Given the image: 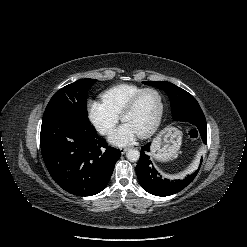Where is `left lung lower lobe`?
Segmentation results:
<instances>
[{"label": "left lung lower lobe", "mask_w": 247, "mask_h": 247, "mask_svg": "<svg viewBox=\"0 0 247 247\" xmlns=\"http://www.w3.org/2000/svg\"><path fill=\"white\" fill-rule=\"evenodd\" d=\"M193 129L196 131L199 138H201L202 142L207 144L206 121L196 124ZM149 146L150 143L142 147L140 159L136 166V174L140 184L148 193L156 196H170L181 191L194 180L199 169L183 180L171 181L166 178L163 179L162 175L154 168L152 161L148 156V152L150 151Z\"/></svg>", "instance_id": "1"}]
</instances>
